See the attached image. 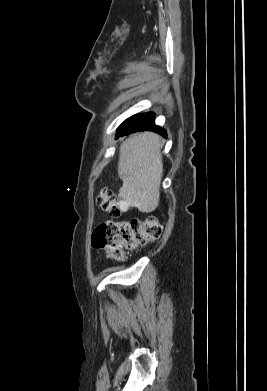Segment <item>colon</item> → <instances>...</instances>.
<instances>
[{"instance_id": "5ec220e1", "label": "colon", "mask_w": 267, "mask_h": 391, "mask_svg": "<svg viewBox=\"0 0 267 391\" xmlns=\"http://www.w3.org/2000/svg\"><path fill=\"white\" fill-rule=\"evenodd\" d=\"M97 205L111 217L121 214L120 201L106 188L96 196ZM162 235V227L157 217L148 215L144 218L125 222L106 221L93 231L92 245L107 251L114 260H123L127 251L158 240Z\"/></svg>"}]
</instances>
